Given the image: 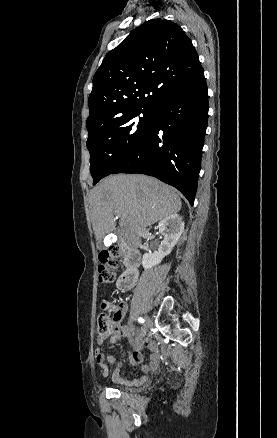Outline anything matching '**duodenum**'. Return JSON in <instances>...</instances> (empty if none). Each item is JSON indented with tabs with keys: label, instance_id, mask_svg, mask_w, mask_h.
Instances as JSON below:
<instances>
[{
	"label": "duodenum",
	"instance_id": "410a0bca",
	"mask_svg": "<svg viewBox=\"0 0 277 438\" xmlns=\"http://www.w3.org/2000/svg\"><path fill=\"white\" fill-rule=\"evenodd\" d=\"M119 246L125 252L126 259L125 270L118 281V288L125 292L130 290L137 281L140 256L135 245L128 241L119 242Z\"/></svg>",
	"mask_w": 277,
	"mask_h": 438
}]
</instances>
